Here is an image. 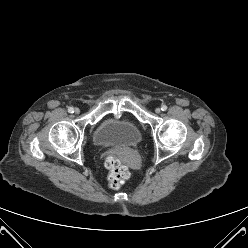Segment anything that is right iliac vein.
I'll return each mask as SVG.
<instances>
[{"label": "right iliac vein", "mask_w": 248, "mask_h": 248, "mask_svg": "<svg viewBox=\"0 0 248 248\" xmlns=\"http://www.w3.org/2000/svg\"><path fill=\"white\" fill-rule=\"evenodd\" d=\"M76 114H79L80 113V109L79 108H75V111H74Z\"/></svg>", "instance_id": "right-iliac-vein-1"}]
</instances>
